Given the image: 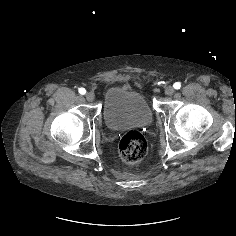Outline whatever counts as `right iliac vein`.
<instances>
[{
    "instance_id": "right-iliac-vein-1",
    "label": "right iliac vein",
    "mask_w": 236,
    "mask_h": 236,
    "mask_svg": "<svg viewBox=\"0 0 236 236\" xmlns=\"http://www.w3.org/2000/svg\"><path fill=\"white\" fill-rule=\"evenodd\" d=\"M87 101L89 102H93L95 100V95L92 92H88L85 95Z\"/></svg>"
}]
</instances>
